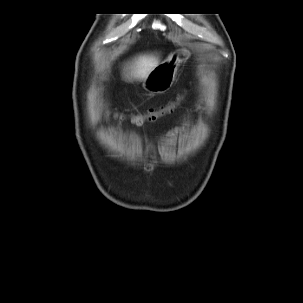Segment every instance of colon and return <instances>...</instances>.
<instances>
[{"mask_svg":"<svg viewBox=\"0 0 303 303\" xmlns=\"http://www.w3.org/2000/svg\"><path fill=\"white\" fill-rule=\"evenodd\" d=\"M181 99V96L175 99L172 103L163 106L161 108H152L148 110L146 113L138 114L136 116L137 124H142L144 121H154L161 115L169 112L175 106L177 102ZM118 116V115H117Z\"/></svg>","mask_w":303,"mask_h":303,"instance_id":"5ec220e1","label":"colon"}]
</instances>
